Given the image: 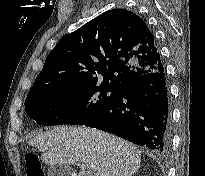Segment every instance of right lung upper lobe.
I'll list each match as a JSON object with an SVG mask.
<instances>
[{
  "label": "right lung upper lobe",
  "mask_w": 205,
  "mask_h": 176,
  "mask_svg": "<svg viewBox=\"0 0 205 176\" xmlns=\"http://www.w3.org/2000/svg\"><path fill=\"white\" fill-rule=\"evenodd\" d=\"M163 67L153 34L135 13L104 12L62 37L28 94L66 86H110Z\"/></svg>",
  "instance_id": "obj_1"
}]
</instances>
